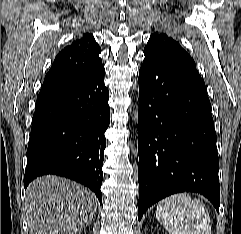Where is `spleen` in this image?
I'll return each mask as SVG.
<instances>
[{
  "label": "spleen",
  "mask_w": 241,
  "mask_h": 234,
  "mask_svg": "<svg viewBox=\"0 0 241 234\" xmlns=\"http://www.w3.org/2000/svg\"><path fill=\"white\" fill-rule=\"evenodd\" d=\"M156 218L170 234H211L205 204L187 193L174 194L158 202Z\"/></svg>",
  "instance_id": "1"
}]
</instances>
